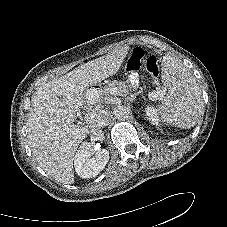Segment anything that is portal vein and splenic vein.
Returning a JSON list of instances; mask_svg holds the SVG:
<instances>
[{
	"mask_svg": "<svg viewBox=\"0 0 227 227\" xmlns=\"http://www.w3.org/2000/svg\"><path fill=\"white\" fill-rule=\"evenodd\" d=\"M111 94H112V95H117V90L114 88V89L111 91ZM149 96H150V99H151V100L158 99V97H159V92H152V93L149 94ZM87 99H88V101H89L91 104H93V103H95V101H96V99H97V96H95L94 93L89 92V93H87ZM92 116H93V114H86V117H85V118H86V121H89V120L92 118Z\"/></svg>",
	"mask_w": 227,
	"mask_h": 227,
	"instance_id": "18ae733b",
	"label": "portal vein and splenic vein"
}]
</instances>
